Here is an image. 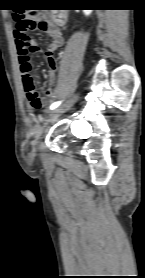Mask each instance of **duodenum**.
<instances>
[{
  "mask_svg": "<svg viewBox=\"0 0 145 278\" xmlns=\"http://www.w3.org/2000/svg\"><path fill=\"white\" fill-rule=\"evenodd\" d=\"M51 21L56 26L64 25L67 21L66 12L63 10L53 12V14L51 15Z\"/></svg>",
  "mask_w": 145,
  "mask_h": 278,
  "instance_id": "duodenum-1",
  "label": "duodenum"
}]
</instances>
